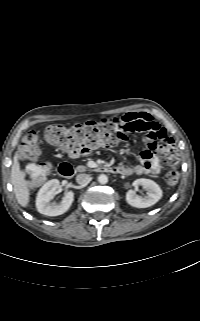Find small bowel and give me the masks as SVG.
Masks as SVG:
<instances>
[{"label":"small bowel","mask_w":200,"mask_h":321,"mask_svg":"<svg viewBox=\"0 0 200 321\" xmlns=\"http://www.w3.org/2000/svg\"><path fill=\"white\" fill-rule=\"evenodd\" d=\"M128 132H145L147 149L140 153L139 163L128 165L121 163L116 166L118 173L122 175H157L161 169V159L165 150L173 146V139L167 131L148 113L130 112L120 118H115ZM74 156V154H73Z\"/></svg>","instance_id":"small-bowel-1"}]
</instances>
